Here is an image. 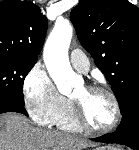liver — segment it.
Returning a JSON list of instances; mask_svg holds the SVG:
<instances>
[{"instance_id": "6515ba94", "label": "liver", "mask_w": 139, "mask_h": 150, "mask_svg": "<svg viewBox=\"0 0 139 150\" xmlns=\"http://www.w3.org/2000/svg\"><path fill=\"white\" fill-rule=\"evenodd\" d=\"M90 146L82 138L34 127L20 114L0 116V150H83Z\"/></svg>"}]
</instances>
